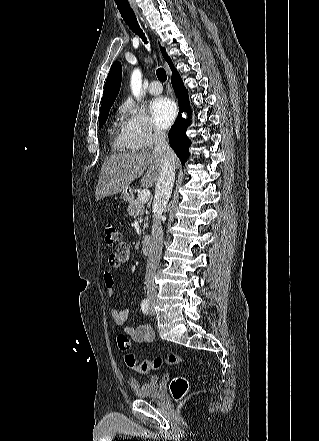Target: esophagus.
I'll use <instances>...</instances> for the list:
<instances>
[{
    "instance_id": "esophagus-1",
    "label": "esophagus",
    "mask_w": 319,
    "mask_h": 441,
    "mask_svg": "<svg viewBox=\"0 0 319 441\" xmlns=\"http://www.w3.org/2000/svg\"><path fill=\"white\" fill-rule=\"evenodd\" d=\"M133 8H134V9L136 10V12L138 13V11H137L136 7L134 6ZM138 14H139V13H138Z\"/></svg>"
}]
</instances>
